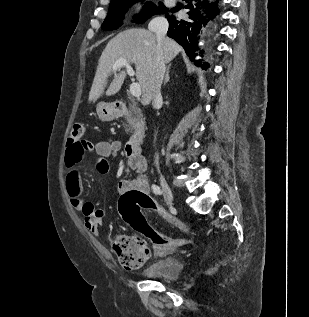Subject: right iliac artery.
Wrapping results in <instances>:
<instances>
[{"mask_svg": "<svg viewBox=\"0 0 309 317\" xmlns=\"http://www.w3.org/2000/svg\"><path fill=\"white\" fill-rule=\"evenodd\" d=\"M152 190H153V192H154L155 194H157V195H162V190L160 189L159 186H157V185H152Z\"/></svg>", "mask_w": 309, "mask_h": 317, "instance_id": "82829eb1", "label": "right iliac artery"}]
</instances>
